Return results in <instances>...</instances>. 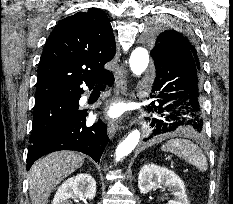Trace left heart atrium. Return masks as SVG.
Masks as SVG:
<instances>
[{"mask_svg": "<svg viewBox=\"0 0 233 204\" xmlns=\"http://www.w3.org/2000/svg\"><path fill=\"white\" fill-rule=\"evenodd\" d=\"M119 114V110L116 107H112L107 111V116L114 118Z\"/></svg>", "mask_w": 233, "mask_h": 204, "instance_id": "left-heart-atrium-1", "label": "left heart atrium"}]
</instances>
